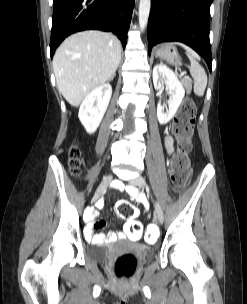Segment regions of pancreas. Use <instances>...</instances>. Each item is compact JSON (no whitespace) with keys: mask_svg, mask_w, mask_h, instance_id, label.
Here are the masks:
<instances>
[{"mask_svg":"<svg viewBox=\"0 0 247 304\" xmlns=\"http://www.w3.org/2000/svg\"><path fill=\"white\" fill-rule=\"evenodd\" d=\"M182 82H183L187 92L190 93L191 89H192L191 81L189 79H182Z\"/></svg>","mask_w":247,"mask_h":304,"instance_id":"1","label":"pancreas"}]
</instances>
